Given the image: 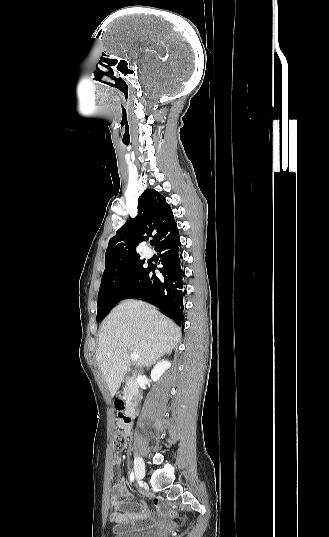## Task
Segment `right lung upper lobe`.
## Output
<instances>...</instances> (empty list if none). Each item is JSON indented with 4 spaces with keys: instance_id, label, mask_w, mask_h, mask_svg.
Instances as JSON below:
<instances>
[{
    "instance_id": "obj_1",
    "label": "right lung upper lobe",
    "mask_w": 329,
    "mask_h": 537,
    "mask_svg": "<svg viewBox=\"0 0 329 537\" xmlns=\"http://www.w3.org/2000/svg\"><path fill=\"white\" fill-rule=\"evenodd\" d=\"M177 225L165 198L153 189H146L138 199V215L128 220L109 240L105 266L139 258L136 246L152 236L158 245L177 230Z\"/></svg>"
}]
</instances>
